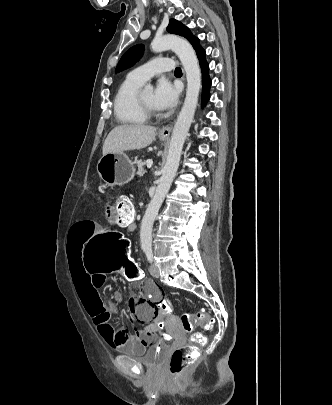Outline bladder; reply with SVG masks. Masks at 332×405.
Returning <instances> with one entry per match:
<instances>
[{"instance_id": "obj_1", "label": "bladder", "mask_w": 332, "mask_h": 405, "mask_svg": "<svg viewBox=\"0 0 332 405\" xmlns=\"http://www.w3.org/2000/svg\"><path fill=\"white\" fill-rule=\"evenodd\" d=\"M168 347L164 343H156L148 349H142L137 353L131 348H121L119 351L132 359L139 361L148 366H156L160 364L166 357Z\"/></svg>"}]
</instances>
